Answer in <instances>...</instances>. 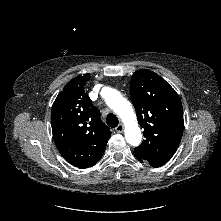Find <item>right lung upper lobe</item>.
<instances>
[{"label":"right lung upper lobe","instance_id":"1","mask_svg":"<svg viewBox=\"0 0 221 221\" xmlns=\"http://www.w3.org/2000/svg\"><path fill=\"white\" fill-rule=\"evenodd\" d=\"M90 74L70 80L58 94L51 110L53 139L61 155L80 169L94 166L111 136L101 122L100 111L84 90Z\"/></svg>","mask_w":221,"mask_h":221}]
</instances>
